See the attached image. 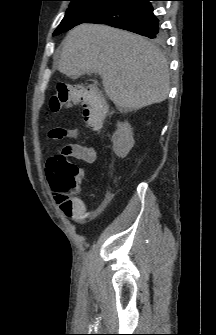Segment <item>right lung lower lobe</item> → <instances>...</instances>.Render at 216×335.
Wrapping results in <instances>:
<instances>
[{"mask_svg": "<svg viewBox=\"0 0 216 335\" xmlns=\"http://www.w3.org/2000/svg\"><path fill=\"white\" fill-rule=\"evenodd\" d=\"M152 0H116L85 23L107 24L154 39L162 34Z\"/></svg>", "mask_w": 216, "mask_h": 335, "instance_id": "98d812e1", "label": "right lung lower lobe"}]
</instances>
